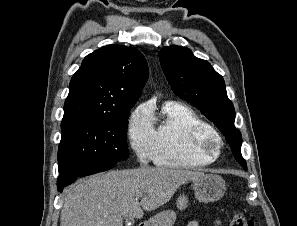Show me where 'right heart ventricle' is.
<instances>
[{
	"label": "right heart ventricle",
	"instance_id": "right-heart-ventricle-1",
	"mask_svg": "<svg viewBox=\"0 0 297 226\" xmlns=\"http://www.w3.org/2000/svg\"><path fill=\"white\" fill-rule=\"evenodd\" d=\"M154 125V157L158 166L193 169L213 163L216 155L202 153L197 140L216 133L212 125L188 105L165 102L158 115L151 112Z\"/></svg>",
	"mask_w": 297,
	"mask_h": 226
}]
</instances>
